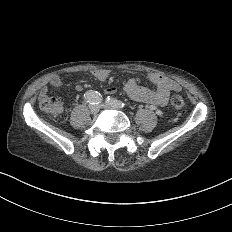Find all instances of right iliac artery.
Returning a JSON list of instances; mask_svg holds the SVG:
<instances>
[{"mask_svg":"<svg viewBox=\"0 0 232 232\" xmlns=\"http://www.w3.org/2000/svg\"><path fill=\"white\" fill-rule=\"evenodd\" d=\"M83 98L86 102L97 105L102 101V96L95 90H88L84 93Z\"/></svg>","mask_w":232,"mask_h":232,"instance_id":"right-iliac-artery-1","label":"right iliac artery"}]
</instances>
